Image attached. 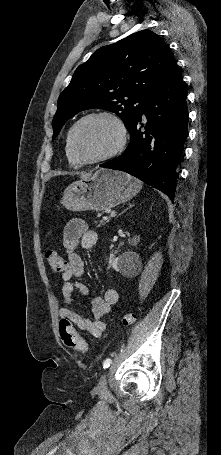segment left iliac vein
I'll return each mask as SVG.
<instances>
[{
  "label": "left iliac vein",
  "mask_w": 221,
  "mask_h": 455,
  "mask_svg": "<svg viewBox=\"0 0 221 455\" xmlns=\"http://www.w3.org/2000/svg\"><path fill=\"white\" fill-rule=\"evenodd\" d=\"M97 390L100 393H105L107 391V377L105 373L99 379Z\"/></svg>",
  "instance_id": "left-iliac-vein-1"
}]
</instances>
